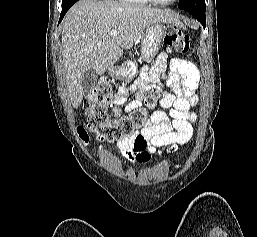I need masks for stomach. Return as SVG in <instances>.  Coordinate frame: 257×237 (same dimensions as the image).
<instances>
[{
  "label": "stomach",
  "instance_id": "stomach-1",
  "mask_svg": "<svg viewBox=\"0 0 257 237\" xmlns=\"http://www.w3.org/2000/svg\"><path fill=\"white\" fill-rule=\"evenodd\" d=\"M166 36V27L162 22H154L148 25L141 37V57L144 61L150 62L158 53L162 41ZM118 74L127 80L132 79L136 74V66L133 62H126Z\"/></svg>",
  "mask_w": 257,
  "mask_h": 237
}]
</instances>
